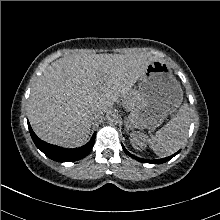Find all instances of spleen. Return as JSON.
I'll use <instances>...</instances> for the list:
<instances>
[{"label":"spleen","instance_id":"3e777b00","mask_svg":"<svg viewBox=\"0 0 220 220\" xmlns=\"http://www.w3.org/2000/svg\"><path fill=\"white\" fill-rule=\"evenodd\" d=\"M189 110V105L184 103L177 114L147 140L158 156H169L184 144L190 124Z\"/></svg>","mask_w":220,"mask_h":220}]
</instances>
